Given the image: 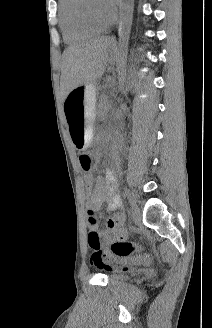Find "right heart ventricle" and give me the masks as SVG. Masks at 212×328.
<instances>
[{"instance_id":"1","label":"right heart ventricle","mask_w":212,"mask_h":328,"mask_svg":"<svg viewBox=\"0 0 212 328\" xmlns=\"http://www.w3.org/2000/svg\"><path fill=\"white\" fill-rule=\"evenodd\" d=\"M79 0H59V17L63 37L67 43H77L100 31L82 24L77 16Z\"/></svg>"}]
</instances>
